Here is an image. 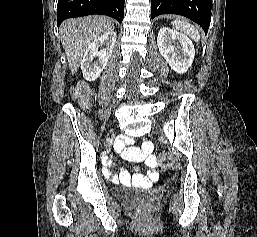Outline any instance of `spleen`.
I'll use <instances>...</instances> for the list:
<instances>
[{
	"instance_id": "obj_1",
	"label": "spleen",
	"mask_w": 257,
	"mask_h": 237,
	"mask_svg": "<svg viewBox=\"0 0 257 237\" xmlns=\"http://www.w3.org/2000/svg\"><path fill=\"white\" fill-rule=\"evenodd\" d=\"M178 31H181L191 37L194 41L198 42L200 40L199 30L186 21H174L172 23Z\"/></svg>"
}]
</instances>
